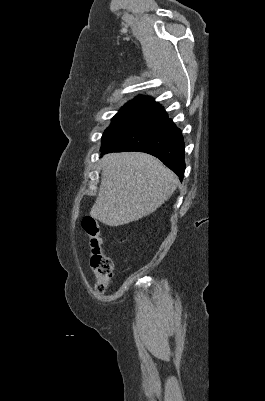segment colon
Instances as JSON below:
<instances>
[{
	"label": "colon",
	"instance_id": "colon-1",
	"mask_svg": "<svg viewBox=\"0 0 265 401\" xmlns=\"http://www.w3.org/2000/svg\"><path fill=\"white\" fill-rule=\"evenodd\" d=\"M82 227L90 239V266L94 272L98 293H103L113 275V263L102 248L101 230L98 221L92 217L82 220Z\"/></svg>",
	"mask_w": 265,
	"mask_h": 401
}]
</instances>
